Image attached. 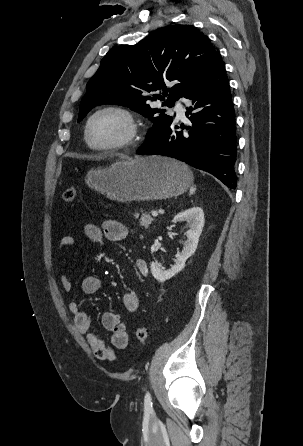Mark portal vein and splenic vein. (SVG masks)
Instances as JSON below:
<instances>
[{
  "instance_id": "18ae733b",
  "label": "portal vein and splenic vein",
  "mask_w": 303,
  "mask_h": 446,
  "mask_svg": "<svg viewBox=\"0 0 303 446\" xmlns=\"http://www.w3.org/2000/svg\"><path fill=\"white\" fill-rule=\"evenodd\" d=\"M152 216L153 217H157L158 216V212L157 211H152Z\"/></svg>"
}]
</instances>
